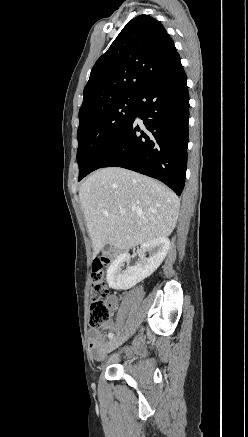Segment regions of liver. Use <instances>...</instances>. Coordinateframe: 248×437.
<instances>
[{
    "label": "liver",
    "mask_w": 248,
    "mask_h": 437,
    "mask_svg": "<svg viewBox=\"0 0 248 437\" xmlns=\"http://www.w3.org/2000/svg\"><path fill=\"white\" fill-rule=\"evenodd\" d=\"M79 199L94 257L106 244L127 250L169 236L179 214V200L169 188L118 167L91 174L80 186Z\"/></svg>",
    "instance_id": "6515ba94"
}]
</instances>
